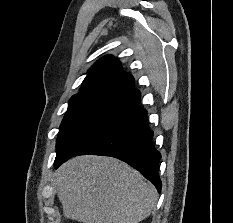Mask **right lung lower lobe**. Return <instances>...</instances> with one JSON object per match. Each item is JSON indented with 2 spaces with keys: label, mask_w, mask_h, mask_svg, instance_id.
<instances>
[{
  "label": "right lung lower lobe",
  "mask_w": 233,
  "mask_h": 223,
  "mask_svg": "<svg viewBox=\"0 0 233 223\" xmlns=\"http://www.w3.org/2000/svg\"><path fill=\"white\" fill-rule=\"evenodd\" d=\"M123 95L127 103L123 113L79 153L57 154L55 168L76 155L111 156L137 169L160 192L158 164L161 155L152 145L153 132L147 125V113L139 107L140 93L132 88Z\"/></svg>",
  "instance_id": "98d812e1"
}]
</instances>
